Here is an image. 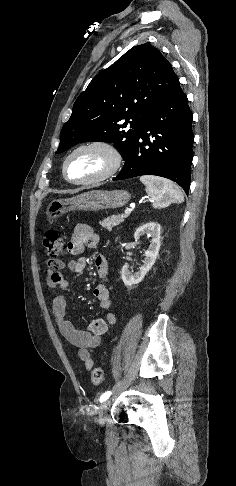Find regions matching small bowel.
<instances>
[{
  "instance_id": "1",
  "label": "small bowel",
  "mask_w": 236,
  "mask_h": 486,
  "mask_svg": "<svg viewBox=\"0 0 236 486\" xmlns=\"http://www.w3.org/2000/svg\"><path fill=\"white\" fill-rule=\"evenodd\" d=\"M100 241L99 235L88 224L75 226L67 250L73 256L80 255L86 247L94 248ZM95 267L100 278H105L108 273V261L103 255H97L94 259ZM46 283L50 289L69 290V283L62 275L63 269H69L74 275L84 272L87 260L78 257L68 263L59 259L48 261ZM93 295L104 310H110L111 299L108 288L100 284L93 290ZM52 313L58 325L60 333L72 345L78 348V356L84 367L90 370L94 366L92 350L99 346L101 337L108 331L109 326L116 323V315L108 312L105 318L92 321L86 330H80L67 318V297L64 293L56 294L52 298Z\"/></svg>"
}]
</instances>
